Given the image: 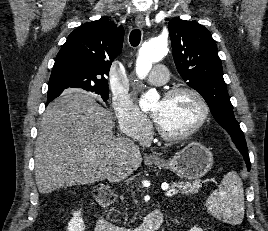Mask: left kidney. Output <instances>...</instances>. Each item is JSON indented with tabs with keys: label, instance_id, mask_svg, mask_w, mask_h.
Returning <instances> with one entry per match:
<instances>
[{
	"label": "left kidney",
	"instance_id": "left-kidney-1",
	"mask_svg": "<svg viewBox=\"0 0 268 231\" xmlns=\"http://www.w3.org/2000/svg\"><path fill=\"white\" fill-rule=\"evenodd\" d=\"M190 231H203V229L199 227H193Z\"/></svg>",
	"mask_w": 268,
	"mask_h": 231
}]
</instances>
